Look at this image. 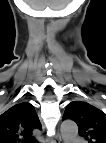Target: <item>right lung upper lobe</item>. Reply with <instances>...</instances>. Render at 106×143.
Wrapping results in <instances>:
<instances>
[{"label": "right lung upper lobe", "mask_w": 106, "mask_h": 143, "mask_svg": "<svg viewBox=\"0 0 106 143\" xmlns=\"http://www.w3.org/2000/svg\"><path fill=\"white\" fill-rule=\"evenodd\" d=\"M42 126L33 105L22 102L0 115V143H25Z\"/></svg>", "instance_id": "1"}]
</instances>
